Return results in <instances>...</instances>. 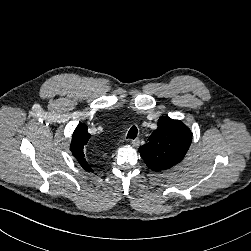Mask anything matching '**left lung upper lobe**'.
Returning a JSON list of instances; mask_svg holds the SVG:
<instances>
[{
  "label": "left lung upper lobe",
  "mask_w": 251,
  "mask_h": 251,
  "mask_svg": "<svg viewBox=\"0 0 251 251\" xmlns=\"http://www.w3.org/2000/svg\"><path fill=\"white\" fill-rule=\"evenodd\" d=\"M191 141L192 133L182 121L161 116L158 128L139 148V152L151 170L160 172L180 163Z\"/></svg>",
  "instance_id": "1"
}]
</instances>
